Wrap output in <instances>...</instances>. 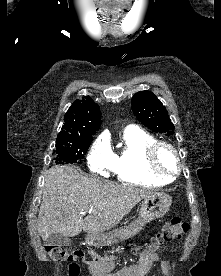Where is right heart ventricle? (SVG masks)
Masks as SVG:
<instances>
[{
  "label": "right heart ventricle",
  "mask_w": 221,
  "mask_h": 276,
  "mask_svg": "<svg viewBox=\"0 0 221 276\" xmlns=\"http://www.w3.org/2000/svg\"><path fill=\"white\" fill-rule=\"evenodd\" d=\"M156 141L150 133L134 126L126 128L121 145L114 154L113 172L118 180L134 185H162L170 181L152 175L145 164V150Z\"/></svg>",
  "instance_id": "e07e8e85"
}]
</instances>
